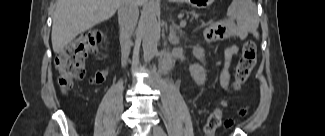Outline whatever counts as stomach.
<instances>
[{
    "label": "stomach",
    "instance_id": "stomach-1",
    "mask_svg": "<svg viewBox=\"0 0 325 136\" xmlns=\"http://www.w3.org/2000/svg\"><path fill=\"white\" fill-rule=\"evenodd\" d=\"M173 2H186L195 8H206L213 0H172Z\"/></svg>",
    "mask_w": 325,
    "mask_h": 136
}]
</instances>
